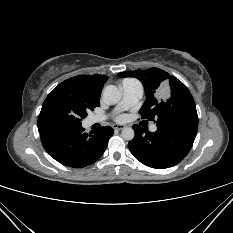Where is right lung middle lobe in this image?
Segmentation results:
<instances>
[{"instance_id": "right-lung-middle-lobe-1", "label": "right lung middle lobe", "mask_w": 233, "mask_h": 233, "mask_svg": "<svg viewBox=\"0 0 233 233\" xmlns=\"http://www.w3.org/2000/svg\"><path fill=\"white\" fill-rule=\"evenodd\" d=\"M100 96L91 95L67 80L45 99L38 118V130H69L81 126L88 110L100 105Z\"/></svg>"}]
</instances>
